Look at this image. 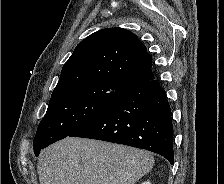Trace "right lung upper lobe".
<instances>
[{
  "instance_id": "obj_1",
  "label": "right lung upper lobe",
  "mask_w": 224,
  "mask_h": 184,
  "mask_svg": "<svg viewBox=\"0 0 224 184\" xmlns=\"http://www.w3.org/2000/svg\"><path fill=\"white\" fill-rule=\"evenodd\" d=\"M152 59L137 36L123 28L99 30L75 48L52 96L76 84L103 80L133 87L153 80Z\"/></svg>"
}]
</instances>
